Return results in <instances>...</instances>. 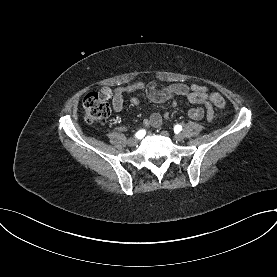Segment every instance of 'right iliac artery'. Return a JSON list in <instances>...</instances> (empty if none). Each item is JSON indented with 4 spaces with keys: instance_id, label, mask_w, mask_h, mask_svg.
<instances>
[{
    "instance_id": "obj_1",
    "label": "right iliac artery",
    "mask_w": 277,
    "mask_h": 277,
    "mask_svg": "<svg viewBox=\"0 0 277 277\" xmlns=\"http://www.w3.org/2000/svg\"><path fill=\"white\" fill-rule=\"evenodd\" d=\"M145 133H146L145 130H140L136 133V137L141 139L145 136Z\"/></svg>"
}]
</instances>
